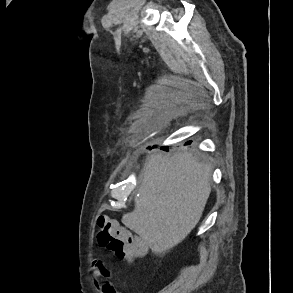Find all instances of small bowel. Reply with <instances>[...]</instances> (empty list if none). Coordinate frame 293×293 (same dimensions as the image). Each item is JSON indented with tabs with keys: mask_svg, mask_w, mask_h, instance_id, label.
Here are the masks:
<instances>
[{
	"mask_svg": "<svg viewBox=\"0 0 293 293\" xmlns=\"http://www.w3.org/2000/svg\"><path fill=\"white\" fill-rule=\"evenodd\" d=\"M92 269L93 277L100 293H119L110 280L112 273L109 268H107L100 260H94ZM99 281L103 283L100 284Z\"/></svg>",
	"mask_w": 293,
	"mask_h": 293,
	"instance_id": "small-bowel-1",
	"label": "small bowel"
}]
</instances>
